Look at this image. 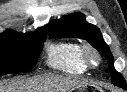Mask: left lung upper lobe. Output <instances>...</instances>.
Returning a JSON list of instances; mask_svg holds the SVG:
<instances>
[{
  "label": "left lung upper lobe",
  "instance_id": "obj_1",
  "mask_svg": "<svg viewBox=\"0 0 127 92\" xmlns=\"http://www.w3.org/2000/svg\"><path fill=\"white\" fill-rule=\"evenodd\" d=\"M51 37L58 38H80L87 40L94 48L103 51L108 59V67L112 76V84L127 89L125 79L114 69L113 56L108 45L104 42L100 30L85 21V16L81 13H74L58 19L52 23Z\"/></svg>",
  "mask_w": 127,
  "mask_h": 92
}]
</instances>
